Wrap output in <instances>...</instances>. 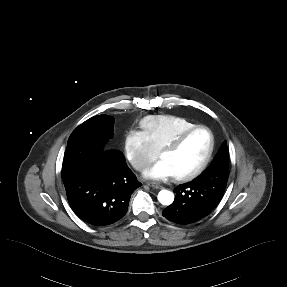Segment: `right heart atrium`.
<instances>
[{
  "mask_svg": "<svg viewBox=\"0 0 287 287\" xmlns=\"http://www.w3.org/2000/svg\"><path fill=\"white\" fill-rule=\"evenodd\" d=\"M123 147L126 159L138 171L146 169L158 156L146 135L138 130L125 134Z\"/></svg>",
  "mask_w": 287,
  "mask_h": 287,
  "instance_id": "obj_1",
  "label": "right heart atrium"
}]
</instances>
